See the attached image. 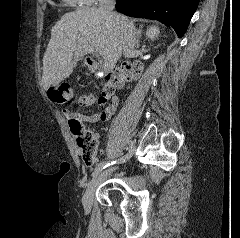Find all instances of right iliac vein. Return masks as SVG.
<instances>
[{
	"label": "right iliac vein",
	"mask_w": 240,
	"mask_h": 238,
	"mask_svg": "<svg viewBox=\"0 0 240 238\" xmlns=\"http://www.w3.org/2000/svg\"><path fill=\"white\" fill-rule=\"evenodd\" d=\"M114 170V168H110V169H107L103 172H101L91 183L90 185L88 186L84 196H83V199H82V203H83V206H84V209L85 211H90L91 210V207H92V204H93V198H94V193H95V190L97 188V186L101 183V181L109 174L111 173L112 171Z\"/></svg>",
	"instance_id": "1"
}]
</instances>
